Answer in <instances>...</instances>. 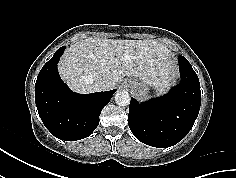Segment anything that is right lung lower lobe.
Wrapping results in <instances>:
<instances>
[{
	"label": "right lung lower lobe",
	"instance_id": "right-lung-lower-lobe-1",
	"mask_svg": "<svg viewBox=\"0 0 236 178\" xmlns=\"http://www.w3.org/2000/svg\"><path fill=\"white\" fill-rule=\"evenodd\" d=\"M65 47L43 66L35 83V102L46 128L57 138L76 141L92 134L116 90L87 95L73 93L60 79L57 64Z\"/></svg>",
	"mask_w": 236,
	"mask_h": 178
}]
</instances>
